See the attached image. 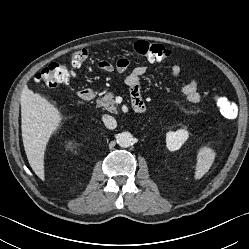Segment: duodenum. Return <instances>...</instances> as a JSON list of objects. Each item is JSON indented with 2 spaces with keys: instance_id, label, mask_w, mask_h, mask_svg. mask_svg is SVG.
Instances as JSON below:
<instances>
[{
  "instance_id": "1",
  "label": "duodenum",
  "mask_w": 249,
  "mask_h": 249,
  "mask_svg": "<svg viewBox=\"0 0 249 249\" xmlns=\"http://www.w3.org/2000/svg\"><path fill=\"white\" fill-rule=\"evenodd\" d=\"M80 99L90 101L95 97V92L91 88H83L79 91ZM133 108L138 113H143L146 109L145 103L140 99L133 100Z\"/></svg>"
}]
</instances>
